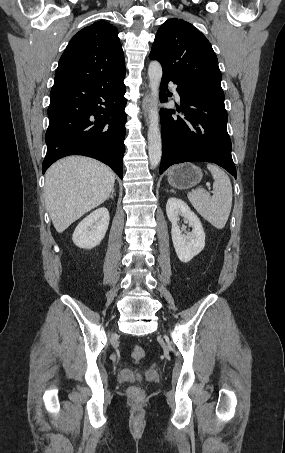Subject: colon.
I'll return each instance as SVG.
<instances>
[{
    "instance_id": "obj_1",
    "label": "colon",
    "mask_w": 285,
    "mask_h": 453,
    "mask_svg": "<svg viewBox=\"0 0 285 453\" xmlns=\"http://www.w3.org/2000/svg\"><path fill=\"white\" fill-rule=\"evenodd\" d=\"M144 356H145V351L141 345L135 344L132 346L131 359L134 362H136V363L140 362L144 358ZM128 393L132 398H139L142 396L143 392H142L141 388L133 386V387L129 388Z\"/></svg>"
}]
</instances>
